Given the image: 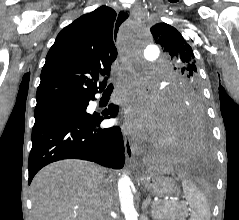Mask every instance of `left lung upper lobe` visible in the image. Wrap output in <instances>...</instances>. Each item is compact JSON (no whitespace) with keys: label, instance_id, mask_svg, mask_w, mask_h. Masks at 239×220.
<instances>
[{"label":"left lung upper lobe","instance_id":"obj_1","mask_svg":"<svg viewBox=\"0 0 239 220\" xmlns=\"http://www.w3.org/2000/svg\"><path fill=\"white\" fill-rule=\"evenodd\" d=\"M151 33L177 70L176 79L169 86L170 114L188 111L193 107H201L204 110L201 82L195 65V56L189 44L177 29L166 23L154 25Z\"/></svg>","mask_w":239,"mask_h":220}]
</instances>
